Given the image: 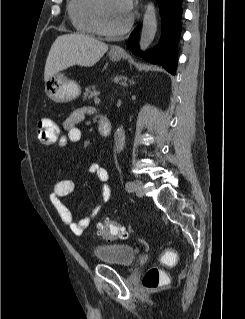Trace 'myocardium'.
Segmentation results:
<instances>
[{
	"instance_id": "myocardium-1",
	"label": "myocardium",
	"mask_w": 245,
	"mask_h": 319,
	"mask_svg": "<svg viewBox=\"0 0 245 319\" xmlns=\"http://www.w3.org/2000/svg\"><path fill=\"white\" fill-rule=\"evenodd\" d=\"M95 20L98 31L100 34L109 36V37H117L120 35L125 34L132 26L133 23V16L130 15L126 23L118 28V29H111L107 27L103 17V0H97L95 5Z\"/></svg>"
}]
</instances>
